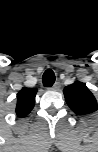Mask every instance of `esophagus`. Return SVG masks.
Wrapping results in <instances>:
<instances>
[{"label": "esophagus", "instance_id": "34e87169", "mask_svg": "<svg viewBox=\"0 0 98 152\" xmlns=\"http://www.w3.org/2000/svg\"><path fill=\"white\" fill-rule=\"evenodd\" d=\"M61 87L60 82H55V84L50 88V90L58 91Z\"/></svg>", "mask_w": 98, "mask_h": 152}]
</instances>
